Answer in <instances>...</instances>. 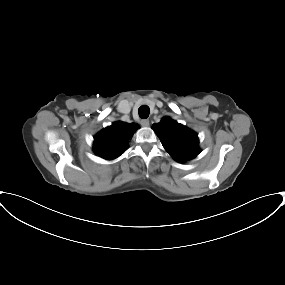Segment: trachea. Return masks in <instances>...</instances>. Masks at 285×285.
<instances>
[{
  "mask_svg": "<svg viewBox=\"0 0 285 285\" xmlns=\"http://www.w3.org/2000/svg\"><path fill=\"white\" fill-rule=\"evenodd\" d=\"M149 113H150V109H149V107H148L147 105H142V106L138 109L139 117L142 118V119L148 118Z\"/></svg>",
  "mask_w": 285,
  "mask_h": 285,
  "instance_id": "1",
  "label": "trachea"
}]
</instances>
